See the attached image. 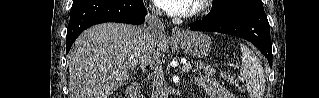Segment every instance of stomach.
Returning a JSON list of instances; mask_svg holds the SVG:
<instances>
[{
    "instance_id": "0dacf381",
    "label": "stomach",
    "mask_w": 319,
    "mask_h": 98,
    "mask_svg": "<svg viewBox=\"0 0 319 98\" xmlns=\"http://www.w3.org/2000/svg\"><path fill=\"white\" fill-rule=\"evenodd\" d=\"M177 43L187 55L196 58L208 56L212 47L209 36L199 32H187Z\"/></svg>"
}]
</instances>
